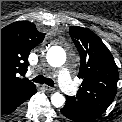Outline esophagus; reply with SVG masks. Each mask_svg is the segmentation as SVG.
Returning <instances> with one entry per match:
<instances>
[{"label": "esophagus", "mask_w": 122, "mask_h": 122, "mask_svg": "<svg viewBox=\"0 0 122 122\" xmlns=\"http://www.w3.org/2000/svg\"><path fill=\"white\" fill-rule=\"evenodd\" d=\"M44 89H45L46 91H48V92H54V91H55V88L50 87V86H48V85H44Z\"/></svg>", "instance_id": "esophagus-1"}]
</instances>
